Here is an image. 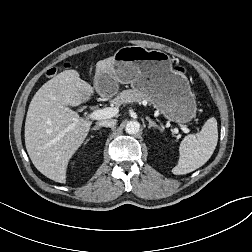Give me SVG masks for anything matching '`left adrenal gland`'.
Masks as SVG:
<instances>
[{
	"mask_svg": "<svg viewBox=\"0 0 252 252\" xmlns=\"http://www.w3.org/2000/svg\"><path fill=\"white\" fill-rule=\"evenodd\" d=\"M146 120L149 122L148 128L155 127L159 129L161 132L163 131L154 121H152L149 117H146Z\"/></svg>",
	"mask_w": 252,
	"mask_h": 252,
	"instance_id": "obj_1",
	"label": "left adrenal gland"
}]
</instances>
